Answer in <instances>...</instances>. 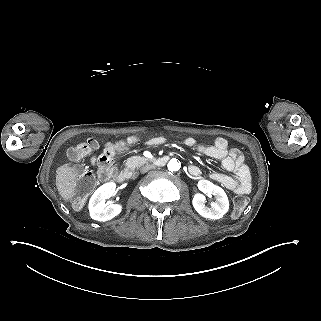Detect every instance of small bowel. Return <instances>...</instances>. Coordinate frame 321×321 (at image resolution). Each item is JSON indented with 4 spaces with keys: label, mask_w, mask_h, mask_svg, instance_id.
Returning a JSON list of instances; mask_svg holds the SVG:
<instances>
[{
    "label": "small bowel",
    "mask_w": 321,
    "mask_h": 321,
    "mask_svg": "<svg viewBox=\"0 0 321 321\" xmlns=\"http://www.w3.org/2000/svg\"><path fill=\"white\" fill-rule=\"evenodd\" d=\"M138 141L136 136H129L126 139L115 142H107L104 145L103 152L94 161L97 164V172L101 177H109L113 174L112 162L114 158L126 152L131 145ZM164 137L157 136L147 141L148 145L157 146L163 144ZM184 143L191 148H195L198 152L208 156L209 158L220 161L222 168L232 173V176L221 173L211 172L209 177L222 184L230 191L237 194H246L251 190V173L248 166L244 163L242 153L237 149H230L228 143L223 138H217L212 145L197 144L196 141L188 137ZM189 173L197 177L201 174L200 169L191 165Z\"/></svg>",
    "instance_id": "c3829d8e"
}]
</instances>
